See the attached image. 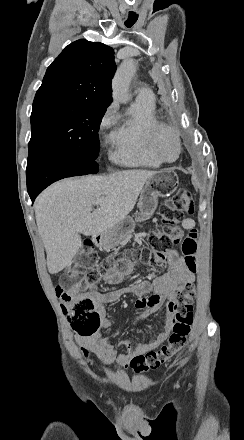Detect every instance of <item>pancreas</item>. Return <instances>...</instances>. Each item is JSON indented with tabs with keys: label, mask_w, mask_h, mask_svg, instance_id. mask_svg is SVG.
<instances>
[{
	"label": "pancreas",
	"mask_w": 244,
	"mask_h": 440,
	"mask_svg": "<svg viewBox=\"0 0 244 440\" xmlns=\"http://www.w3.org/2000/svg\"><path fill=\"white\" fill-rule=\"evenodd\" d=\"M125 238H127V236H125ZM125 238H123V240H125Z\"/></svg>",
	"instance_id": "obj_1"
}]
</instances>
